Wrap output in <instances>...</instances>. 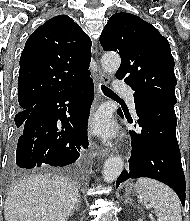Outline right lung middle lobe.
I'll use <instances>...</instances> for the list:
<instances>
[{
    "label": "right lung middle lobe",
    "instance_id": "right-lung-middle-lobe-1",
    "mask_svg": "<svg viewBox=\"0 0 190 221\" xmlns=\"http://www.w3.org/2000/svg\"><path fill=\"white\" fill-rule=\"evenodd\" d=\"M28 111H21L15 116V124L19 128L24 123L27 117Z\"/></svg>",
    "mask_w": 190,
    "mask_h": 221
}]
</instances>
